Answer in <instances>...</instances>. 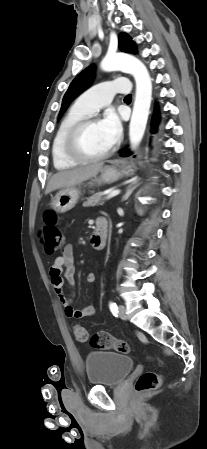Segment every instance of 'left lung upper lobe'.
<instances>
[{"mask_svg":"<svg viewBox=\"0 0 207 449\" xmlns=\"http://www.w3.org/2000/svg\"><path fill=\"white\" fill-rule=\"evenodd\" d=\"M118 40H119L118 46L121 51L132 54L136 53V45L127 34L125 33L119 34ZM94 72L95 68L93 65H91L86 69H84L81 73H79L75 77V79L72 81L67 92L64 95L61 110L59 113V118L66 111L71 101H73L81 92H83L86 88H88L89 85L93 82Z\"/></svg>","mask_w":207,"mask_h":449,"instance_id":"5c2ea615","label":"left lung upper lobe"}]
</instances>
